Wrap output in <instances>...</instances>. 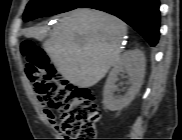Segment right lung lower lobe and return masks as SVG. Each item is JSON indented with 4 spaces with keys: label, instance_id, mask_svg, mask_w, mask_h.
I'll use <instances>...</instances> for the list:
<instances>
[{
    "label": "right lung lower lobe",
    "instance_id": "right-lung-lower-lobe-1",
    "mask_svg": "<svg viewBox=\"0 0 182 140\" xmlns=\"http://www.w3.org/2000/svg\"><path fill=\"white\" fill-rule=\"evenodd\" d=\"M159 0H87L80 7L113 14L136 31L154 47L159 40Z\"/></svg>",
    "mask_w": 182,
    "mask_h": 140
}]
</instances>
